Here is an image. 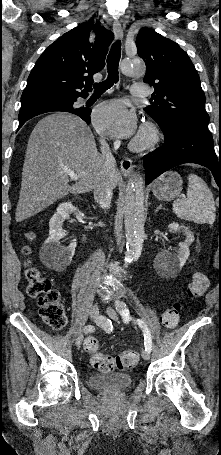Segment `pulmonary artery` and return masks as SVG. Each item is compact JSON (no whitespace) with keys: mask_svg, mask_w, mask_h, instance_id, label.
I'll return each mask as SVG.
<instances>
[{"mask_svg":"<svg viewBox=\"0 0 221 455\" xmlns=\"http://www.w3.org/2000/svg\"><path fill=\"white\" fill-rule=\"evenodd\" d=\"M130 91L133 96H140V97L148 96L150 93L148 86L144 83H134L131 86Z\"/></svg>","mask_w":221,"mask_h":455,"instance_id":"1","label":"pulmonary artery"}]
</instances>
